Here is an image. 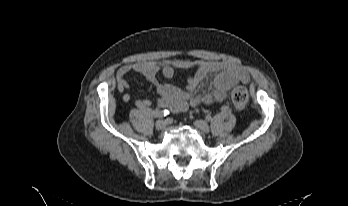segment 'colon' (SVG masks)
<instances>
[{
    "mask_svg": "<svg viewBox=\"0 0 348 206\" xmlns=\"http://www.w3.org/2000/svg\"><path fill=\"white\" fill-rule=\"evenodd\" d=\"M248 98L249 96L246 88L241 85L235 86L231 91L232 103L238 110H243L246 108Z\"/></svg>",
    "mask_w": 348,
    "mask_h": 206,
    "instance_id": "5ec220e1",
    "label": "colon"
}]
</instances>
